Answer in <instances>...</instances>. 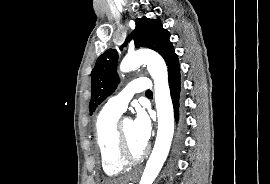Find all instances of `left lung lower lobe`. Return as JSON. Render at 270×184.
<instances>
[{
    "instance_id": "left-lung-lower-lobe-1",
    "label": "left lung lower lobe",
    "mask_w": 270,
    "mask_h": 184,
    "mask_svg": "<svg viewBox=\"0 0 270 184\" xmlns=\"http://www.w3.org/2000/svg\"><path fill=\"white\" fill-rule=\"evenodd\" d=\"M168 81L170 87V94L175 110L176 121L179 120V109L182 110L181 105V80H180V66L177 54H174L169 60L168 64ZM185 130V123L183 116L181 117L179 124V145L182 143V138Z\"/></svg>"
}]
</instances>
